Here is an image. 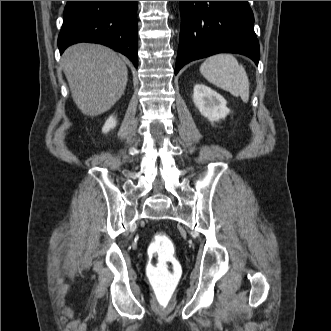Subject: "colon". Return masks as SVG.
<instances>
[{"label":"colon","instance_id":"colon-1","mask_svg":"<svg viewBox=\"0 0 331 331\" xmlns=\"http://www.w3.org/2000/svg\"><path fill=\"white\" fill-rule=\"evenodd\" d=\"M181 272L171 238L165 233H156L149 247L147 276L158 307H169L174 301Z\"/></svg>","mask_w":331,"mask_h":331}]
</instances>
